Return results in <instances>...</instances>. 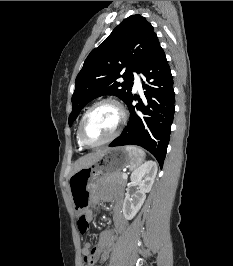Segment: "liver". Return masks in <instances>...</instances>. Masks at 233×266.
<instances>
[{
  "label": "liver",
  "mask_w": 233,
  "mask_h": 266,
  "mask_svg": "<svg viewBox=\"0 0 233 266\" xmlns=\"http://www.w3.org/2000/svg\"><path fill=\"white\" fill-rule=\"evenodd\" d=\"M106 150L107 149L98 150L79 158L74 164L72 174L98 161V159L106 152Z\"/></svg>",
  "instance_id": "obj_1"
}]
</instances>
